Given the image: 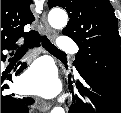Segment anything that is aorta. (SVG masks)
I'll list each match as a JSON object with an SVG mask.
<instances>
[{
	"label": "aorta",
	"instance_id": "1",
	"mask_svg": "<svg viewBox=\"0 0 121 113\" xmlns=\"http://www.w3.org/2000/svg\"><path fill=\"white\" fill-rule=\"evenodd\" d=\"M48 21L51 27L55 29H62L67 25L68 16L62 9H52L48 15ZM52 113H65L62 107H54Z\"/></svg>",
	"mask_w": 121,
	"mask_h": 113
}]
</instances>
